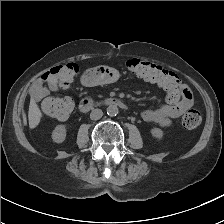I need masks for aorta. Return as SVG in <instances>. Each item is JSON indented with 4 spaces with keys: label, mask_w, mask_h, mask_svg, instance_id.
Listing matches in <instances>:
<instances>
[{
    "label": "aorta",
    "mask_w": 224,
    "mask_h": 224,
    "mask_svg": "<svg viewBox=\"0 0 224 224\" xmlns=\"http://www.w3.org/2000/svg\"><path fill=\"white\" fill-rule=\"evenodd\" d=\"M107 114L110 116H116L118 114V107L116 105H109L107 107Z\"/></svg>",
    "instance_id": "aorta-1"
}]
</instances>
